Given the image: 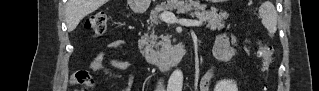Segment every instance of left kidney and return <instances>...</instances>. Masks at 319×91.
<instances>
[{
	"label": "left kidney",
	"mask_w": 319,
	"mask_h": 91,
	"mask_svg": "<svg viewBox=\"0 0 319 91\" xmlns=\"http://www.w3.org/2000/svg\"><path fill=\"white\" fill-rule=\"evenodd\" d=\"M215 91H238V87L233 80H221L216 84Z\"/></svg>",
	"instance_id": "left-kidney-1"
}]
</instances>
